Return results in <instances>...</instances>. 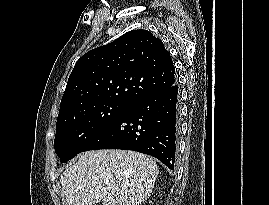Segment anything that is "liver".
Segmentation results:
<instances>
[{
    "label": "liver",
    "instance_id": "1",
    "mask_svg": "<svg viewBox=\"0 0 269 205\" xmlns=\"http://www.w3.org/2000/svg\"><path fill=\"white\" fill-rule=\"evenodd\" d=\"M158 172L156 162L144 154L93 150L80 154L60 182L66 205H139L151 195Z\"/></svg>",
    "mask_w": 269,
    "mask_h": 205
}]
</instances>
